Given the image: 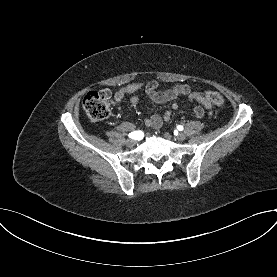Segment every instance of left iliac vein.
<instances>
[{
	"mask_svg": "<svg viewBox=\"0 0 277 277\" xmlns=\"http://www.w3.org/2000/svg\"><path fill=\"white\" fill-rule=\"evenodd\" d=\"M165 137H168V135L165 134ZM176 139H177L178 141H183V140H185V135H184L183 133H179V134L176 136Z\"/></svg>",
	"mask_w": 277,
	"mask_h": 277,
	"instance_id": "obj_1",
	"label": "left iliac vein"
}]
</instances>
